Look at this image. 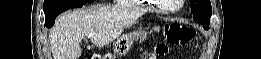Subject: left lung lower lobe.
<instances>
[{"label": "left lung lower lobe", "mask_w": 261, "mask_h": 59, "mask_svg": "<svg viewBox=\"0 0 261 59\" xmlns=\"http://www.w3.org/2000/svg\"><path fill=\"white\" fill-rule=\"evenodd\" d=\"M195 20H196V19H195ZM197 21H198V20H197ZM199 22L203 24V26H204V28H205L206 30L209 29V23H205V22H201V21H199Z\"/></svg>", "instance_id": "left-lung-lower-lobe-1"}]
</instances>
